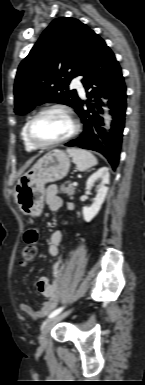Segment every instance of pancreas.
Wrapping results in <instances>:
<instances>
[{"mask_svg":"<svg viewBox=\"0 0 145 385\" xmlns=\"http://www.w3.org/2000/svg\"><path fill=\"white\" fill-rule=\"evenodd\" d=\"M75 186H73V184H71V183H68V185L67 186H65V185H62L61 187H60V192L61 193H64V194H67L68 196H72V195H74V193H75Z\"/></svg>","mask_w":145,"mask_h":385,"instance_id":"1","label":"pancreas"}]
</instances>
